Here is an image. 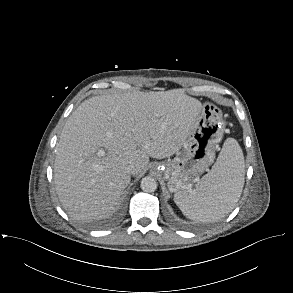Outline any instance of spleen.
<instances>
[{"label": "spleen", "instance_id": "3e777b00", "mask_svg": "<svg viewBox=\"0 0 293 293\" xmlns=\"http://www.w3.org/2000/svg\"><path fill=\"white\" fill-rule=\"evenodd\" d=\"M245 161L242 149L228 138L212 169L195 189L178 191L174 202L182 213L198 222H214L225 217L238 202L244 186Z\"/></svg>", "mask_w": 293, "mask_h": 293}]
</instances>
